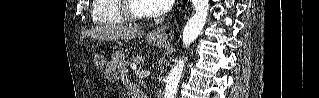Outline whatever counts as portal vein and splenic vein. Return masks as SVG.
Here are the masks:
<instances>
[{"instance_id": "18ae733b", "label": "portal vein and splenic vein", "mask_w": 319, "mask_h": 98, "mask_svg": "<svg viewBox=\"0 0 319 98\" xmlns=\"http://www.w3.org/2000/svg\"><path fill=\"white\" fill-rule=\"evenodd\" d=\"M135 74H136V76H138V77H140V78H145V77H147V76H149V74H150V71H144V70H136L135 71Z\"/></svg>"}]
</instances>
